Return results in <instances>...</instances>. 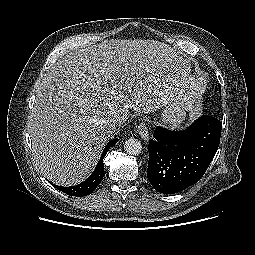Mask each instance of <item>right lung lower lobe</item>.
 <instances>
[{
	"mask_svg": "<svg viewBox=\"0 0 255 255\" xmlns=\"http://www.w3.org/2000/svg\"><path fill=\"white\" fill-rule=\"evenodd\" d=\"M118 139L111 140L105 147L100 160L93 171V173L81 184L72 186V187H61L53 184L55 188L58 190L72 196H77V197H83L91 194L97 186L100 184L102 181L105 172H104V163L103 159L105 155L107 154L108 150L117 143Z\"/></svg>",
	"mask_w": 255,
	"mask_h": 255,
	"instance_id": "right-lung-lower-lobe-1",
	"label": "right lung lower lobe"
}]
</instances>
